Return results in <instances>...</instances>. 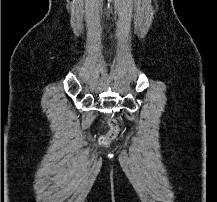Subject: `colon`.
<instances>
[{"instance_id":"obj_1","label":"colon","mask_w":217,"mask_h":202,"mask_svg":"<svg viewBox=\"0 0 217 202\" xmlns=\"http://www.w3.org/2000/svg\"><path fill=\"white\" fill-rule=\"evenodd\" d=\"M109 127L112 128L111 133H107V137H97V142L106 144L110 142V138H116V134L120 133L119 124L116 123V120H109Z\"/></svg>"}]
</instances>
